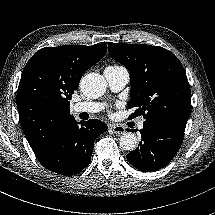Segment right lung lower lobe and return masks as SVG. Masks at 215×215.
<instances>
[{"instance_id": "obj_1", "label": "right lung lower lobe", "mask_w": 215, "mask_h": 215, "mask_svg": "<svg viewBox=\"0 0 215 215\" xmlns=\"http://www.w3.org/2000/svg\"><path fill=\"white\" fill-rule=\"evenodd\" d=\"M105 131L107 125L100 120L90 119L76 123L71 118L35 155L50 171L65 176L75 175L90 164L94 141Z\"/></svg>"}]
</instances>
